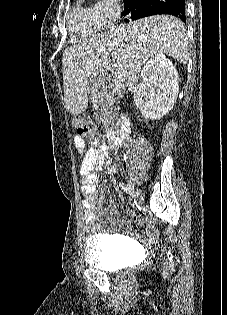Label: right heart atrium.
I'll return each instance as SVG.
<instances>
[{"label": "right heart atrium", "mask_w": 227, "mask_h": 315, "mask_svg": "<svg viewBox=\"0 0 227 315\" xmlns=\"http://www.w3.org/2000/svg\"><path fill=\"white\" fill-rule=\"evenodd\" d=\"M91 10L98 28L105 29L116 21L121 7L118 0H100L91 7Z\"/></svg>", "instance_id": "obj_1"}]
</instances>
